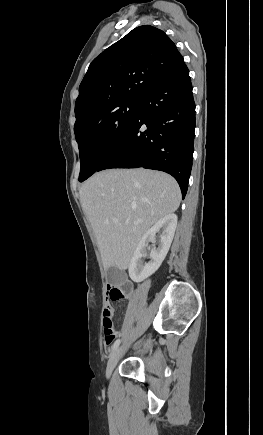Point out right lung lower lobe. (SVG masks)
Segmentation results:
<instances>
[{
	"label": "right lung lower lobe",
	"mask_w": 263,
	"mask_h": 435,
	"mask_svg": "<svg viewBox=\"0 0 263 435\" xmlns=\"http://www.w3.org/2000/svg\"><path fill=\"white\" fill-rule=\"evenodd\" d=\"M195 103L185 63L142 99L130 128L98 168H148L172 175L182 197L192 168Z\"/></svg>",
	"instance_id": "right-lung-lower-lobe-1"
}]
</instances>
